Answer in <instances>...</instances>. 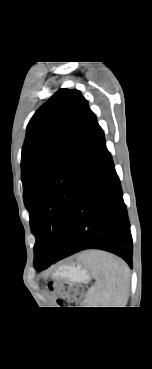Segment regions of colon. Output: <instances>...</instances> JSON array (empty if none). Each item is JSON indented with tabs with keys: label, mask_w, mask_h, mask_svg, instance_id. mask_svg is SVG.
<instances>
[{
	"label": "colon",
	"mask_w": 152,
	"mask_h": 369,
	"mask_svg": "<svg viewBox=\"0 0 152 369\" xmlns=\"http://www.w3.org/2000/svg\"><path fill=\"white\" fill-rule=\"evenodd\" d=\"M49 291L56 296L60 306L75 303L83 297V289L74 284L53 282L49 285Z\"/></svg>",
	"instance_id": "colon-1"
}]
</instances>
